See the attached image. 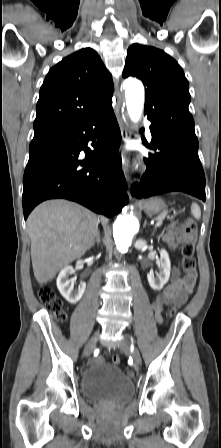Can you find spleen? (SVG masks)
<instances>
[{"instance_id":"obj_1","label":"spleen","mask_w":221,"mask_h":448,"mask_svg":"<svg viewBox=\"0 0 221 448\" xmlns=\"http://www.w3.org/2000/svg\"><path fill=\"white\" fill-rule=\"evenodd\" d=\"M191 213L196 219H199L201 217L200 207L196 203H192Z\"/></svg>"}]
</instances>
